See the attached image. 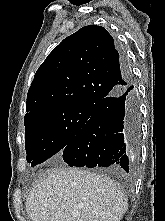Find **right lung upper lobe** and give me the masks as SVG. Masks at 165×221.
Wrapping results in <instances>:
<instances>
[{"label":"right lung upper lobe","mask_w":165,"mask_h":221,"mask_svg":"<svg viewBox=\"0 0 165 221\" xmlns=\"http://www.w3.org/2000/svg\"><path fill=\"white\" fill-rule=\"evenodd\" d=\"M130 81L113 37L101 26H85L66 37L38 68L25 119L58 106H93Z\"/></svg>","instance_id":"right-lung-upper-lobe-1"}]
</instances>
